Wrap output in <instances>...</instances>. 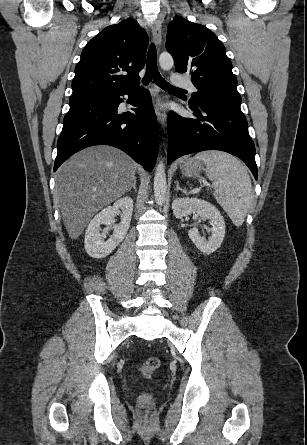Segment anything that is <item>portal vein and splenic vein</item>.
<instances>
[{
    "label": "portal vein and splenic vein",
    "mask_w": 307,
    "mask_h": 445,
    "mask_svg": "<svg viewBox=\"0 0 307 445\" xmlns=\"http://www.w3.org/2000/svg\"><path fill=\"white\" fill-rule=\"evenodd\" d=\"M212 186H217V182H212ZM200 190V188H198Z\"/></svg>",
    "instance_id": "18ae733b"
}]
</instances>
